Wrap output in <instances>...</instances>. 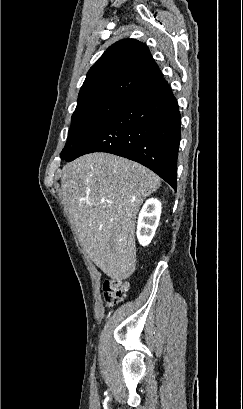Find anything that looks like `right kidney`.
<instances>
[{
	"label": "right kidney",
	"instance_id": "ca27d5eb",
	"mask_svg": "<svg viewBox=\"0 0 243 409\" xmlns=\"http://www.w3.org/2000/svg\"><path fill=\"white\" fill-rule=\"evenodd\" d=\"M161 215V202L156 198L148 199L143 205L137 222V238L142 246H147L155 235Z\"/></svg>",
	"mask_w": 243,
	"mask_h": 409
}]
</instances>
